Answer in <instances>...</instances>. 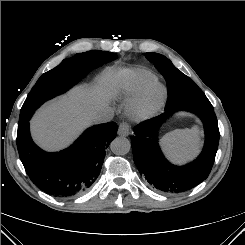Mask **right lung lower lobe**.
Here are the masks:
<instances>
[{
    "label": "right lung lower lobe",
    "instance_id": "obj_1",
    "mask_svg": "<svg viewBox=\"0 0 245 245\" xmlns=\"http://www.w3.org/2000/svg\"><path fill=\"white\" fill-rule=\"evenodd\" d=\"M82 65L83 76L104 64L88 57ZM117 124L109 122L88 128L69 148L55 153L41 150L31 139L29 120L18 125L17 148L25 171L41 190L61 198L87 191L100 173L105 148L116 137Z\"/></svg>",
    "mask_w": 245,
    "mask_h": 245
}]
</instances>
